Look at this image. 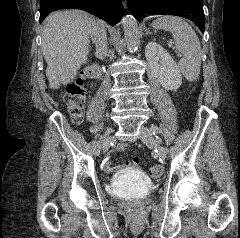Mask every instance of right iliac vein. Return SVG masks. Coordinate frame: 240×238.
<instances>
[{
  "mask_svg": "<svg viewBox=\"0 0 240 238\" xmlns=\"http://www.w3.org/2000/svg\"><path fill=\"white\" fill-rule=\"evenodd\" d=\"M111 140H112L111 133L107 132L102 139V148L104 152H107L109 150Z\"/></svg>",
  "mask_w": 240,
  "mask_h": 238,
  "instance_id": "63e3f726",
  "label": "right iliac vein"
}]
</instances>
